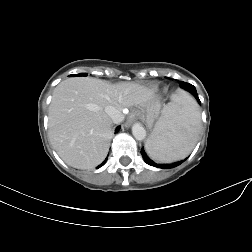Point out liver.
Here are the masks:
<instances>
[{
  "label": "liver",
  "mask_w": 252,
  "mask_h": 252,
  "mask_svg": "<svg viewBox=\"0 0 252 252\" xmlns=\"http://www.w3.org/2000/svg\"><path fill=\"white\" fill-rule=\"evenodd\" d=\"M154 105L160 109L154 90L137 83L68 78L53 92L49 139L66 164L78 169L93 168L107 156L112 138L113 121L105 108L113 106L126 113L132 107L146 109Z\"/></svg>",
  "instance_id": "6515ba94"
}]
</instances>
